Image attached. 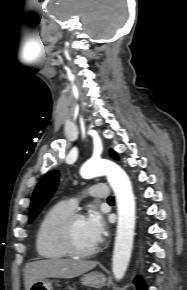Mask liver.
<instances>
[{"label":"liver","instance_id":"obj_1","mask_svg":"<svg viewBox=\"0 0 187 290\" xmlns=\"http://www.w3.org/2000/svg\"><path fill=\"white\" fill-rule=\"evenodd\" d=\"M98 262L71 259H45L27 263L24 269L25 290L42 279L73 278L90 271Z\"/></svg>","mask_w":187,"mask_h":290}]
</instances>
